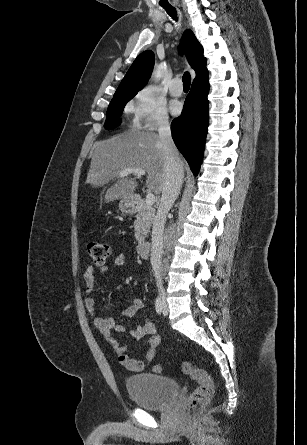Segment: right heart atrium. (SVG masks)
Returning a JSON list of instances; mask_svg holds the SVG:
<instances>
[{"mask_svg":"<svg viewBox=\"0 0 307 445\" xmlns=\"http://www.w3.org/2000/svg\"><path fill=\"white\" fill-rule=\"evenodd\" d=\"M134 124L147 131L161 130L169 119L164 100L150 87L143 88L136 96Z\"/></svg>","mask_w":307,"mask_h":445,"instance_id":"d8ad5b80","label":"right heart atrium"}]
</instances>
